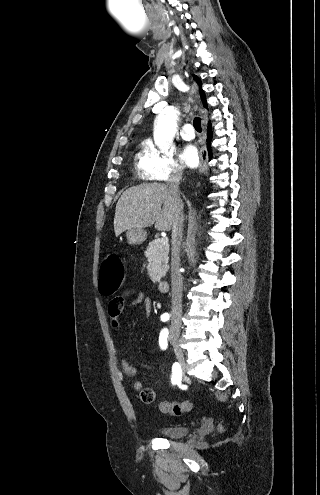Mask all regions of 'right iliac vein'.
Segmentation results:
<instances>
[{
	"instance_id": "63e3f726",
	"label": "right iliac vein",
	"mask_w": 320,
	"mask_h": 495,
	"mask_svg": "<svg viewBox=\"0 0 320 495\" xmlns=\"http://www.w3.org/2000/svg\"><path fill=\"white\" fill-rule=\"evenodd\" d=\"M171 342H172L173 347H174L175 355H176L177 359L179 360L180 364L183 366L185 364V360H184L183 351L180 348L179 343H178V335H172L171 336Z\"/></svg>"
}]
</instances>
